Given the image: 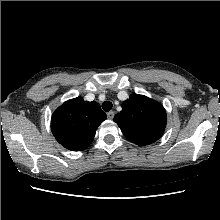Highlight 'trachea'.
Instances as JSON below:
<instances>
[{"mask_svg": "<svg viewBox=\"0 0 220 220\" xmlns=\"http://www.w3.org/2000/svg\"><path fill=\"white\" fill-rule=\"evenodd\" d=\"M113 104L110 101H104L102 103V108L104 111L108 112L112 109Z\"/></svg>", "mask_w": 220, "mask_h": 220, "instance_id": "obj_1", "label": "trachea"}]
</instances>
